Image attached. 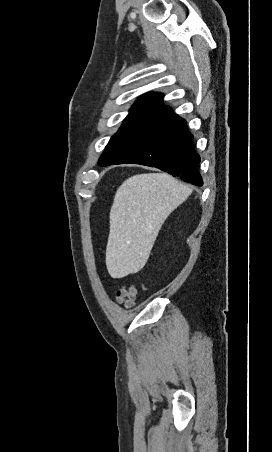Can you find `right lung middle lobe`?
<instances>
[{
  "instance_id": "dd1d6c3e",
  "label": "right lung middle lobe",
  "mask_w": 272,
  "mask_h": 452,
  "mask_svg": "<svg viewBox=\"0 0 272 452\" xmlns=\"http://www.w3.org/2000/svg\"><path fill=\"white\" fill-rule=\"evenodd\" d=\"M155 114H129L118 132L110 139L98 163L100 166L113 164L135 144L159 118Z\"/></svg>"
}]
</instances>
